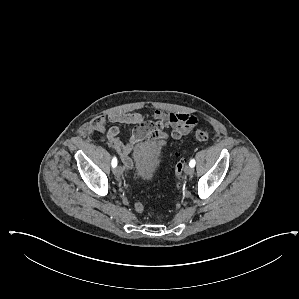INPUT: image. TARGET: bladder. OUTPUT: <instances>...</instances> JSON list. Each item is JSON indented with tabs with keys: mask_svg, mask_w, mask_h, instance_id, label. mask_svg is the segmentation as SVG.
<instances>
[{
	"mask_svg": "<svg viewBox=\"0 0 299 299\" xmlns=\"http://www.w3.org/2000/svg\"><path fill=\"white\" fill-rule=\"evenodd\" d=\"M134 160V177L138 180H149L156 173L160 162V155L148 145H145L135 152Z\"/></svg>",
	"mask_w": 299,
	"mask_h": 299,
	"instance_id": "bladder-1",
	"label": "bladder"
}]
</instances>
